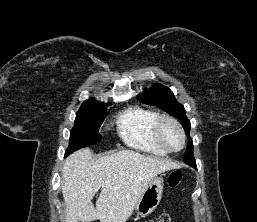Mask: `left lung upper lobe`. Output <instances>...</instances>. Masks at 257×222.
Returning <instances> with one entry per match:
<instances>
[{
    "label": "left lung upper lobe",
    "mask_w": 257,
    "mask_h": 222,
    "mask_svg": "<svg viewBox=\"0 0 257 222\" xmlns=\"http://www.w3.org/2000/svg\"><path fill=\"white\" fill-rule=\"evenodd\" d=\"M140 102L154 105L172 116L178 117V120L184 127L186 134L188 135L187 151L184 154V162L192 167L196 166V162L193 155V143L189 137L190 121L187 119L185 109L175 98L172 91L159 83L151 86L149 90L143 91L142 95L136 97Z\"/></svg>",
    "instance_id": "1"
}]
</instances>
